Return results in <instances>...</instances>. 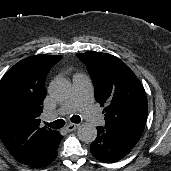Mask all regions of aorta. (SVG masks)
Returning <instances> with one entry per match:
<instances>
[{
  "instance_id": "762f6f07",
  "label": "aorta",
  "mask_w": 171,
  "mask_h": 171,
  "mask_svg": "<svg viewBox=\"0 0 171 171\" xmlns=\"http://www.w3.org/2000/svg\"><path fill=\"white\" fill-rule=\"evenodd\" d=\"M71 85L65 79H55L49 85V94L52 98L62 101L69 97ZM78 138L86 143L93 142L97 137V129L90 123H83L77 131Z\"/></svg>"
}]
</instances>
